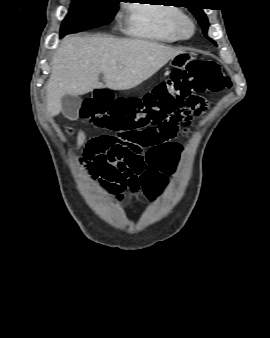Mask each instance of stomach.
<instances>
[{
    "mask_svg": "<svg viewBox=\"0 0 270 338\" xmlns=\"http://www.w3.org/2000/svg\"><path fill=\"white\" fill-rule=\"evenodd\" d=\"M191 59H193V57L190 53L182 52L171 59L170 66L175 69H183Z\"/></svg>",
    "mask_w": 270,
    "mask_h": 338,
    "instance_id": "0dacf381",
    "label": "stomach"
}]
</instances>
